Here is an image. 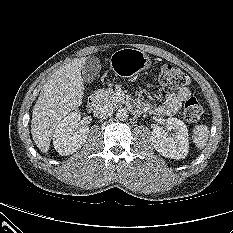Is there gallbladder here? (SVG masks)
<instances>
[{
    "mask_svg": "<svg viewBox=\"0 0 233 233\" xmlns=\"http://www.w3.org/2000/svg\"><path fill=\"white\" fill-rule=\"evenodd\" d=\"M100 69V60L96 56H88L83 65L82 78L86 83H92Z\"/></svg>",
    "mask_w": 233,
    "mask_h": 233,
    "instance_id": "1",
    "label": "gallbladder"
}]
</instances>
